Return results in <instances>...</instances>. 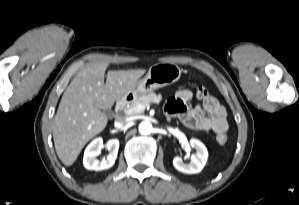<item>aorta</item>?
Segmentation results:
<instances>
[{
    "label": "aorta",
    "instance_id": "1",
    "mask_svg": "<svg viewBox=\"0 0 299 205\" xmlns=\"http://www.w3.org/2000/svg\"><path fill=\"white\" fill-rule=\"evenodd\" d=\"M152 124L149 121H143L139 125V132L142 135H148L152 132Z\"/></svg>",
    "mask_w": 299,
    "mask_h": 205
}]
</instances>
